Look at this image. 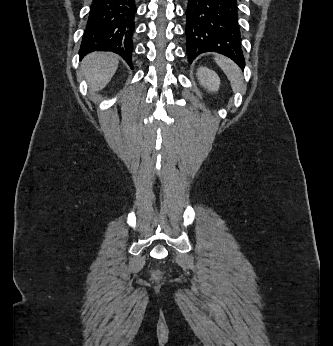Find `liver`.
I'll list each match as a JSON object with an SVG mask.
<instances>
[{
    "mask_svg": "<svg viewBox=\"0 0 333 346\" xmlns=\"http://www.w3.org/2000/svg\"><path fill=\"white\" fill-rule=\"evenodd\" d=\"M118 68V57L111 53L93 52L81 63V71L93 92L102 90Z\"/></svg>",
    "mask_w": 333,
    "mask_h": 346,
    "instance_id": "6515ba94",
    "label": "liver"
}]
</instances>
